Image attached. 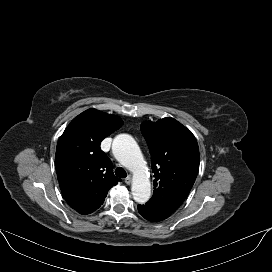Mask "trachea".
<instances>
[{"label": "trachea", "mask_w": 272, "mask_h": 272, "mask_svg": "<svg viewBox=\"0 0 272 272\" xmlns=\"http://www.w3.org/2000/svg\"><path fill=\"white\" fill-rule=\"evenodd\" d=\"M115 174L119 178H125L127 176L126 171L122 167H117L116 170H115Z\"/></svg>", "instance_id": "3493384b"}]
</instances>
